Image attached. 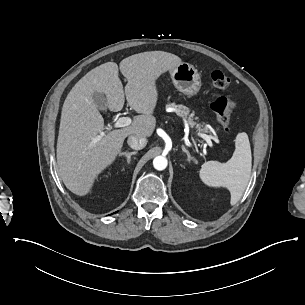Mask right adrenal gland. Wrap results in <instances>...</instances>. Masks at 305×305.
<instances>
[{
	"mask_svg": "<svg viewBox=\"0 0 305 305\" xmlns=\"http://www.w3.org/2000/svg\"><path fill=\"white\" fill-rule=\"evenodd\" d=\"M136 154H137L136 151L135 152H129V153H123V154H121V157H124L127 161V165H130L131 156L136 155Z\"/></svg>",
	"mask_w": 305,
	"mask_h": 305,
	"instance_id": "obj_1",
	"label": "right adrenal gland"
}]
</instances>
